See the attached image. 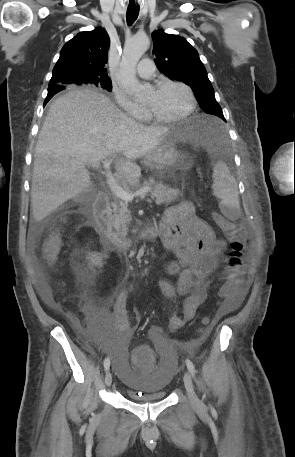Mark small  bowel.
Here are the masks:
<instances>
[{
    "label": "small bowel",
    "instance_id": "1",
    "mask_svg": "<svg viewBox=\"0 0 295 457\" xmlns=\"http://www.w3.org/2000/svg\"><path fill=\"white\" fill-rule=\"evenodd\" d=\"M160 223L163 226L164 248L178 258V262H172L166 268L169 274L178 276L177 282L158 281L161 292L175 303L169 327L176 331L192 321L197 308L207 300V279L218 268L226 243L216 236L208 223L196 216L193 205L187 201L168 208ZM42 292L46 304L56 309L48 289L43 288ZM244 292L241 285L237 296L228 301L230 308L240 303ZM184 294L189 296L180 302L178 297ZM128 295L129 289L123 290L112 303L111 310L106 304L85 305L88 322L98 334L113 333L116 338H129L132 335L134 328L126 315ZM149 334L155 342H163L160 326H152Z\"/></svg>",
    "mask_w": 295,
    "mask_h": 457
}]
</instances>
